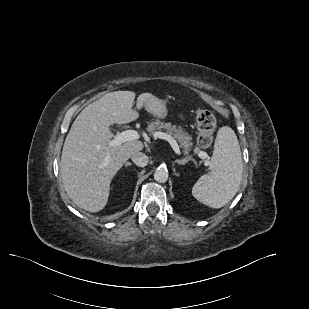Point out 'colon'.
<instances>
[{"instance_id":"5ec220e1","label":"colon","mask_w":309,"mask_h":309,"mask_svg":"<svg viewBox=\"0 0 309 309\" xmlns=\"http://www.w3.org/2000/svg\"><path fill=\"white\" fill-rule=\"evenodd\" d=\"M196 124L198 128V144L203 148L210 146L216 128L215 116L208 110H200L196 115Z\"/></svg>"}]
</instances>
